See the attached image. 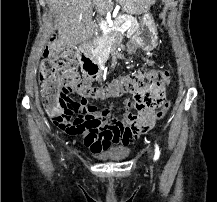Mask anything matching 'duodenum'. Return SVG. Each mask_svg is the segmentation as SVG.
I'll return each mask as SVG.
<instances>
[{
    "mask_svg": "<svg viewBox=\"0 0 217 202\" xmlns=\"http://www.w3.org/2000/svg\"><path fill=\"white\" fill-rule=\"evenodd\" d=\"M80 63L82 72L88 79H96L101 75L99 66L97 65L92 46L85 47L80 55Z\"/></svg>",
    "mask_w": 217,
    "mask_h": 202,
    "instance_id": "410a0bca",
    "label": "duodenum"
}]
</instances>
